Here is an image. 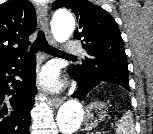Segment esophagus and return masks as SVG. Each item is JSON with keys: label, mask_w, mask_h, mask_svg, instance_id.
<instances>
[{"label": "esophagus", "mask_w": 153, "mask_h": 134, "mask_svg": "<svg viewBox=\"0 0 153 134\" xmlns=\"http://www.w3.org/2000/svg\"><path fill=\"white\" fill-rule=\"evenodd\" d=\"M37 14H38V19L40 21V24L44 30L45 36L47 38V41L51 45H55L56 42L52 37L50 28H49V22H48V13H47V5L45 4H39L37 6ZM64 101L63 97H53L51 102L54 107H59Z\"/></svg>", "instance_id": "34e87169"}]
</instances>
